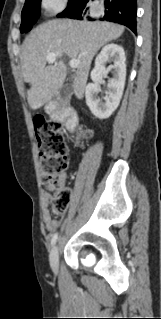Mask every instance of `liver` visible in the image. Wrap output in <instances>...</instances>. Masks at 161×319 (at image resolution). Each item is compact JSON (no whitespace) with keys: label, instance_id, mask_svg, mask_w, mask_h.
Masks as SVG:
<instances>
[{"label":"liver","instance_id":"liver-1","mask_svg":"<svg viewBox=\"0 0 161 319\" xmlns=\"http://www.w3.org/2000/svg\"><path fill=\"white\" fill-rule=\"evenodd\" d=\"M124 27L110 22L56 19L39 25L25 40L20 56L24 81L30 84L28 103L36 110L51 101L66 79V66L58 61L46 66L45 56L54 52L60 59L67 55L78 60L73 88L82 99L91 62L106 43L116 40Z\"/></svg>","mask_w":161,"mask_h":319}]
</instances>
